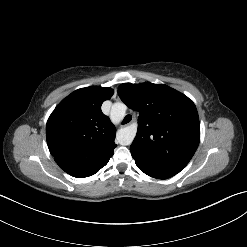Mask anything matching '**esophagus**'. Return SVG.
<instances>
[{
    "instance_id": "34e87169",
    "label": "esophagus",
    "mask_w": 247,
    "mask_h": 247,
    "mask_svg": "<svg viewBox=\"0 0 247 247\" xmlns=\"http://www.w3.org/2000/svg\"><path fill=\"white\" fill-rule=\"evenodd\" d=\"M132 123V121L130 123H128V125H130Z\"/></svg>"
}]
</instances>
